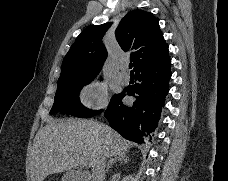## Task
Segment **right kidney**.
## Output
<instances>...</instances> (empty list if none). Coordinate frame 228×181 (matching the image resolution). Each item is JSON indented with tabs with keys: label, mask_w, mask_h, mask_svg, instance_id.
Instances as JSON below:
<instances>
[{
	"label": "right kidney",
	"mask_w": 228,
	"mask_h": 181,
	"mask_svg": "<svg viewBox=\"0 0 228 181\" xmlns=\"http://www.w3.org/2000/svg\"><path fill=\"white\" fill-rule=\"evenodd\" d=\"M113 181H120V173H117V175H113Z\"/></svg>",
	"instance_id": "obj_1"
}]
</instances>
